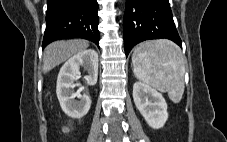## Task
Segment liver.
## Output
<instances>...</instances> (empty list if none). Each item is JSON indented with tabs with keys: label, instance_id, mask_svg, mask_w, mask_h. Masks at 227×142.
Returning <instances> with one entry per match:
<instances>
[{
	"label": "liver",
	"instance_id": "liver-1",
	"mask_svg": "<svg viewBox=\"0 0 227 142\" xmlns=\"http://www.w3.org/2000/svg\"><path fill=\"white\" fill-rule=\"evenodd\" d=\"M88 46L89 42L81 39L57 41L49 44L44 50L42 71L49 72L77 53L86 50Z\"/></svg>",
	"mask_w": 227,
	"mask_h": 142
}]
</instances>
